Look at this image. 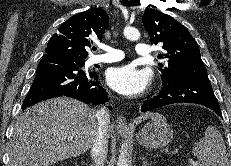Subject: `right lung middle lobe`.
<instances>
[{
  "label": "right lung middle lobe",
  "mask_w": 231,
  "mask_h": 166,
  "mask_svg": "<svg viewBox=\"0 0 231 166\" xmlns=\"http://www.w3.org/2000/svg\"><path fill=\"white\" fill-rule=\"evenodd\" d=\"M71 62H74L79 67H83V65L85 64V61H71Z\"/></svg>",
  "instance_id": "obj_1"
}]
</instances>
